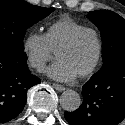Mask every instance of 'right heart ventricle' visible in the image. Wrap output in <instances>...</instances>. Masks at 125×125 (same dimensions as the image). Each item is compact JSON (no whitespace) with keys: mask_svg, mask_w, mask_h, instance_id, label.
Wrapping results in <instances>:
<instances>
[{"mask_svg":"<svg viewBox=\"0 0 125 125\" xmlns=\"http://www.w3.org/2000/svg\"><path fill=\"white\" fill-rule=\"evenodd\" d=\"M85 27L78 21L65 17L50 24L46 30L45 37L50 48L56 52L73 33Z\"/></svg>","mask_w":125,"mask_h":125,"instance_id":"right-heart-ventricle-1","label":"right heart ventricle"}]
</instances>
